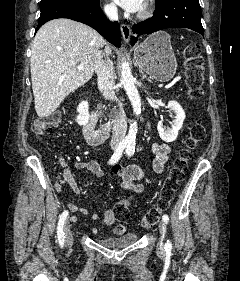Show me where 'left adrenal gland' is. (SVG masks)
I'll use <instances>...</instances> for the list:
<instances>
[{"label":"left adrenal gland","instance_id":"1","mask_svg":"<svg viewBox=\"0 0 240 281\" xmlns=\"http://www.w3.org/2000/svg\"><path fill=\"white\" fill-rule=\"evenodd\" d=\"M139 72H140L141 75H142V79H146L148 82L153 83V81H152L150 78H148V77L143 73L142 70H139Z\"/></svg>","mask_w":240,"mask_h":281}]
</instances>
